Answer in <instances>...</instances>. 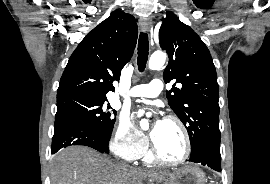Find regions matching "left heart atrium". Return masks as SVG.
<instances>
[{
    "instance_id": "1",
    "label": "left heart atrium",
    "mask_w": 270,
    "mask_h": 184,
    "mask_svg": "<svg viewBox=\"0 0 270 184\" xmlns=\"http://www.w3.org/2000/svg\"><path fill=\"white\" fill-rule=\"evenodd\" d=\"M145 114V110L144 109H141L138 111V117H141ZM163 123V120L161 119H156L154 122H153V125H152V129H151V132H150V136L152 139H154L158 133V130L159 128L161 127Z\"/></svg>"
}]
</instances>
